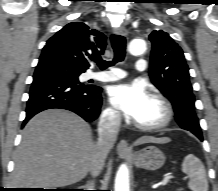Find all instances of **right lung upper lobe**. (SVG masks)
Listing matches in <instances>:
<instances>
[{
  "instance_id": "right-lung-upper-lobe-1",
  "label": "right lung upper lobe",
  "mask_w": 218,
  "mask_h": 191,
  "mask_svg": "<svg viewBox=\"0 0 218 191\" xmlns=\"http://www.w3.org/2000/svg\"><path fill=\"white\" fill-rule=\"evenodd\" d=\"M105 47L104 34L90 29L83 22H72L47 41L41 56L50 55L86 71L90 66L89 60L103 54Z\"/></svg>"
}]
</instances>
